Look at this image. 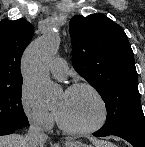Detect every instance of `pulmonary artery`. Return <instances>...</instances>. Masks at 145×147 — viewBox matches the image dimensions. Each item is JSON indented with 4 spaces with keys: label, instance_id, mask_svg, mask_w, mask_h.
<instances>
[{
    "label": "pulmonary artery",
    "instance_id": "pulmonary-artery-1",
    "mask_svg": "<svg viewBox=\"0 0 145 147\" xmlns=\"http://www.w3.org/2000/svg\"><path fill=\"white\" fill-rule=\"evenodd\" d=\"M51 73L57 78H65L68 72V65L61 57L53 59L50 65Z\"/></svg>",
    "mask_w": 145,
    "mask_h": 147
}]
</instances>
